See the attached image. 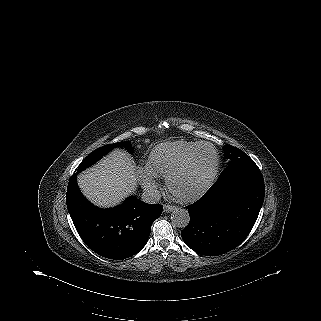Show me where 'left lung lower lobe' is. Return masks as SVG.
Returning <instances> with one entry per match:
<instances>
[{
    "label": "left lung lower lobe",
    "instance_id": "0a47b994",
    "mask_svg": "<svg viewBox=\"0 0 321 321\" xmlns=\"http://www.w3.org/2000/svg\"><path fill=\"white\" fill-rule=\"evenodd\" d=\"M264 179L252 159L229 164L195 203L187 206L190 222L181 232L195 252L217 256L244 241L264 201Z\"/></svg>",
    "mask_w": 321,
    "mask_h": 321
}]
</instances>
